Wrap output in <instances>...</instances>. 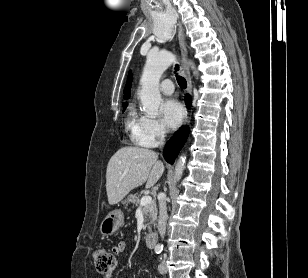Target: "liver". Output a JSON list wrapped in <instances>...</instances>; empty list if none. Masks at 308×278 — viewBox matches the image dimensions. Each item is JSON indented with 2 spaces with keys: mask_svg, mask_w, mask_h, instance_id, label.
Here are the masks:
<instances>
[{
  "mask_svg": "<svg viewBox=\"0 0 308 278\" xmlns=\"http://www.w3.org/2000/svg\"><path fill=\"white\" fill-rule=\"evenodd\" d=\"M165 170L158 154L150 149L126 146L109 160L106 191L110 205L119 203L132 189L146 183L151 188Z\"/></svg>",
  "mask_w": 308,
  "mask_h": 278,
  "instance_id": "liver-1",
  "label": "liver"
}]
</instances>
